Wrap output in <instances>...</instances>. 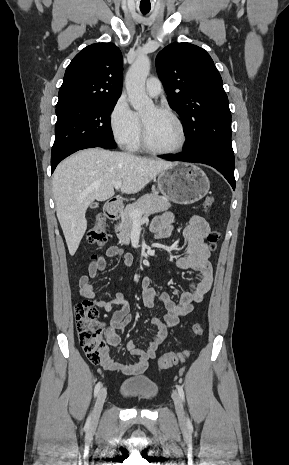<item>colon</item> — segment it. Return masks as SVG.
Segmentation results:
<instances>
[{"mask_svg": "<svg viewBox=\"0 0 289 465\" xmlns=\"http://www.w3.org/2000/svg\"><path fill=\"white\" fill-rule=\"evenodd\" d=\"M214 204V198L207 196L203 201V207L209 211ZM89 243L102 246L107 240V230L105 220L102 215H98L87 232ZM207 240L212 250L216 249L220 240V234L217 231L209 232ZM75 317L77 323V333L80 345L93 363H99L102 359L103 352L106 348L104 344L105 329L99 321V312L89 299H84L75 305ZM192 330L195 335H202L203 328L199 324H194ZM187 357L186 352L167 353L159 360V366L162 369H169L174 365L183 362Z\"/></svg>", "mask_w": 289, "mask_h": 465, "instance_id": "1", "label": "colon"}]
</instances>
